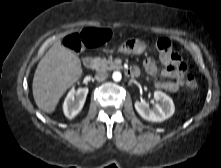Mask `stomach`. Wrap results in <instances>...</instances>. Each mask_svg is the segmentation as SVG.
Wrapping results in <instances>:
<instances>
[{"label":"stomach","mask_w":221,"mask_h":168,"mask_svg":"<svg viewBox=\"0 0 221 168\" xmlns=\"http://www.w3.org/2000/svg\"><path fill=\"white\" fill-rule=\"evenodd\" d=\"M147 48L144 41L135 38L125 40L119 47L118 51L124 54H142Z\"/></svg>","instance_id":"0dacf381"}]
</instances>
